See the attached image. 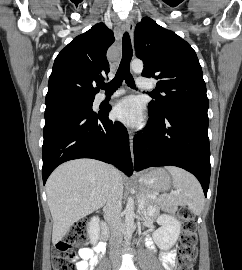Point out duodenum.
I'll list each match as a JSON object with an SVG mask.
<instances>
[{
    "instance_id": "obj_1",
    "label": "duodenum",
    "mask_w": 242,
    "mask_h": 270,
    "mask_svg": "<svg viewBox=\"0 0 242 270\" xmlns=\"http://www.w3.org/2000/svg\"><path fill=\"white\" fill-rule=\"evenodd\" d=\"M100 237L102 241H106L109 239V228L107 226L106 222H103L101 224V232H100ZM105 248H102L101 251H104Z\"/></svg>"
}]
</instances>
